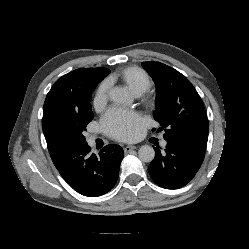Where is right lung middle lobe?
I'll list each match as a JSON object with an SVG mask.
<instances>
[{"mask_svg":"<svg viewBox=\"0 0 249 249\" xmlns=\"http://www.w3.org/2000/svg\"><path fill=\"white\" fill-rule=\"evenodd\" d=\"M109 73V69L96 72L89 82L82 105L78 109L70 110L64 118L59 120L57 132L59 139L65 146L87 143L83 131H86L87 124L93 119V112L90 104L92 92L97 84Z\"/></svg>","mask_w":249,"mask_h":249,"instance_id":"dd1d6c3e","label":"right lung middle lobe"}]
</instances>
